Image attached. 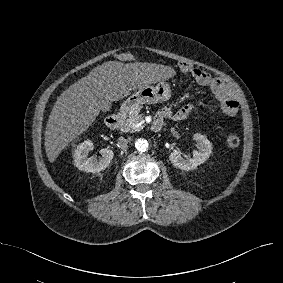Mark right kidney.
<instances>
[{
  "instance_id": "ca27d5eb",
  "label": "right kidney",
  "mask_w": 283,
  "mask_h": 283,
  "mask_svg": "<svg viewBox=\"0 0 283 283\" xmlns=\"http://www.w3.org/2000/svg\"><path fill=\"white\" fill-rule=\"evenodd\" d=\"M94 148L93 143L90 140H86L81 143L74 152V165L85 172H100L109 166L111 163L114 153L110 149H101V157L98 159L89 158V152Z\"/></svg>"
}]
</instances>
